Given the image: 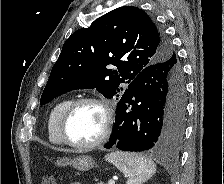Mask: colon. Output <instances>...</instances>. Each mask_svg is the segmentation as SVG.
<instances>
[{
  "instance_id": "5ec220e1",
  "label": "colon",
  "mask_w": 224,
  "mask_h": 184,
  "mask_svg": "<svg viewBox=\"0 0 224 184\" xmlns=\"http://www.w3.org/2000/svg\"><path fill=\"white\" fill-rule=\"evenodd\" d=\"M42 184H56L55 179L51 175H45L42 178Z\"/></svg>"
}]
</instances>
